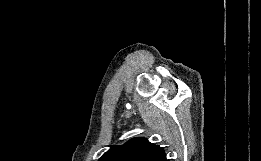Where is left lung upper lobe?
Instances as JSON below:
<instances>
[{
  "mask_svg": "<svg viewBox=\"0 0 261 161\" xmlns=\"http://www.w3.org/2000/svg\"><path fill=\"white\" fill-rule=\"evenodd\" d=\"M164 150L145 138H133L123 145H112L99 161H156Z\"/></svg>",
  "mask_w": 261,
  "mask_h": 161,
  "instance_id": "left-lung-upper-lobe-1",
  "label": "left lung upper lobe"
}]
</instances>
